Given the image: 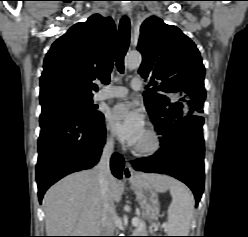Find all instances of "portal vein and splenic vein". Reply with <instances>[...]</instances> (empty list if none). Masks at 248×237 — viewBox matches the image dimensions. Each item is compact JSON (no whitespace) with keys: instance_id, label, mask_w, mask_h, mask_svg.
Listing matches in <instances>:
<instances>
[{"instance_id":"1","label":"portal vein and splenic vein","mask_w":248,"mask_h":237,"mask_svg":"<svg viewBox=\"0 0 248 237\" xmlns=\"http://www.w3.org/2000/svg\"><path fill=\"white\" fill-rule=\"evenodd\" d=\"M139 224H140V219L137 218V217H134L132 219V225L135 226V227H137V226H139Z\"/></svg>"}]
</instances>
